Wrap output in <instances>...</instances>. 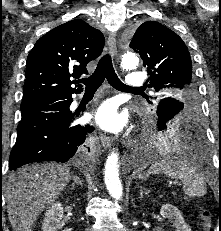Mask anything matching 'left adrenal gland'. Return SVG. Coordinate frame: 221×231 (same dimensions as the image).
I'll return each mask as SVG.
<instances>
[{"mask_svg": "<svg viewBox=\"0 0 221 231\" xmlns=\"http://www.w3.org/2000/svg\"><path fill=\"white\" fill-rule=\"evenodd\" d=\"M143 194H148V192L144 188L140 187V199L143 198Z\"/></svg>", "mask_w": 221, "mask_h": 231, "instance_id": "1", "label": "left adrenal gland"}]
</instances>
